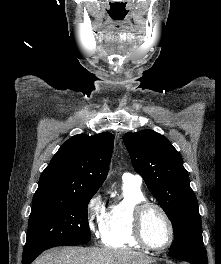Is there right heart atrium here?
<instances>
[{
  "label": "right heart atrium",
  "mask_w": 221,
  "mask_h": 264,
  "mask_svg": "<svg viewBox=\"0 0 221 264\" xmlns=\"http://www.w3.org/2000/svg\"><path fill=\"white\" fill-rule=\"evenodd\" d=\"M86 223L90 232L95 236H100L105 219V206L101 195L96 192L87 201L85 207Z\"/></svg>",
  "instance_id": "1"
}]
</instances>
